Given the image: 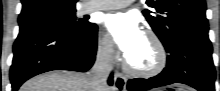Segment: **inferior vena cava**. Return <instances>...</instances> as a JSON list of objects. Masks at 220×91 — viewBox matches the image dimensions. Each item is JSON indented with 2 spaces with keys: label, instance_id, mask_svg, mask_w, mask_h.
I'll use <instances>...</instances> for the list:
<instances>
[{
  "label": "inferior vena cava",
  "instance_id": "1",
  "mask_svg": "<svg viewBox=\"0 0 220 91\" xmlns=\"http://www.w3.org/2000/svg\"><path fill=\"white\" fill-rule=\"evenodd\" d=\"M112 53V43H108L99 49L95 63L88 72L93 91L107 90V79L112 70Z\"/></svg>",
  "mask_w": 220,
  "mask_h": 91
}]
</instances>
